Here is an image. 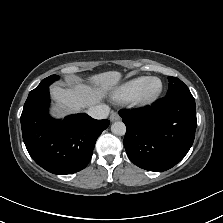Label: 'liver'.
<instances>
[{"instance_id":"liver-1","label":"liver","mask_w":223,"mask_h":223,"mask_svg":"<svg viewBox=\"0 0 223 223\" xmlns=\"http://www.w3.org/2000/svg\"><path fill=\"white\" fill-rule=\"evenodd\" d=\"M123 76L122 72L111 70L88 75L67 87L51 85L50 94L58 105L48 109V116L61 120L69 113H81L95 107L119 87ZM61 108L65 111H60Z\"/></svg>"}]
</instances>
